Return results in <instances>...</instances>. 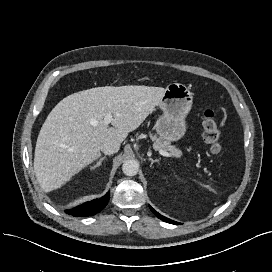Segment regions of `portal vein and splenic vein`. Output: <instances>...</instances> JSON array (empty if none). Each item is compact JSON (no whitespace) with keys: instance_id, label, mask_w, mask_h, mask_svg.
Masks as SVG:
<instances>
[{"instance_id":"18ae733b","label":"portal vein and splenic vein","mask_w":272,"mask_h":272,"mask_svg":"<svg viewBox=\"0 0 272 272\" xmlns=\"http://www.w3.org/2000/svg\"><path fill=\"white\" fill-rule=\"evenodd\" d=\"M113 120L112 118V115L111 114H107L104 118V123L105 125H108L111 123V121ZM159 153L162 155V156H165V157H172L173 155L165 150H159Z\"/></svg>"}]
</instances>
